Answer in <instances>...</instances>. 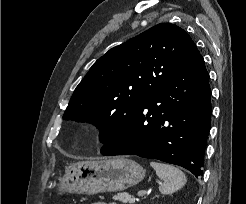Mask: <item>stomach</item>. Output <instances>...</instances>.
<instances>
[{
    "label": "stomach",
    "mask_w": 246,
    "mask_h": 204,
    "mask_svg": "<svg viewBox=\"0 0 246 204\" xmlns=\"http://www.w3.org/2000/svg\"><path fill=\"white\" fill-rule=\"evenodd\" d=\"M144 177L145 170L137 162L125 157H115L74 163L59 178L57 187L60 193L94 195L123 191L138 184Z\"/></svg>",
    "instance_id": "obj_1"
}]
</instances>
